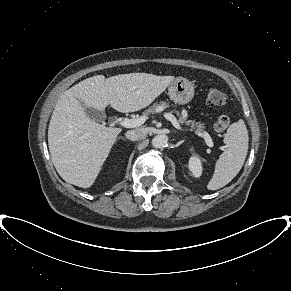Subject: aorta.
Wrapping results in <instances>:
<instances>
[{"label":"aorta","instance_id":"obj_1","mask_svg":"<svg viewBox=\"0 0 291 291\" xmlns=\"http://www.w3.org/2000/svg\"><path fill=\"white\" fill-rule=\"evenodd\" d=\"M151 143L155 148H164L168 143V136L165 134H158L152 139Z\"/></svg>","mask_w":291,"mask_h":291}]
</instances>
